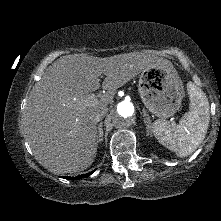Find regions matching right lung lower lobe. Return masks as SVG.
<instances>
[{
    "label": "right lung lower lobe",
    "instance_id": "98d812e1",
    "mask_svg": "<svg viewBox=\"0 0 221 221\" xmlns=\"http://www.w3.org/2000/svg\"><path fill=\"white\" fill-rule=\"evenodd\" d=\"M94 171L84 174V175L77 176V177H64V178L69 179V180H76V179L87 177V176L91 175Z\"/></svg>",
    "mask_w": 221,
    "mask_h": 221
}]
</instances>
